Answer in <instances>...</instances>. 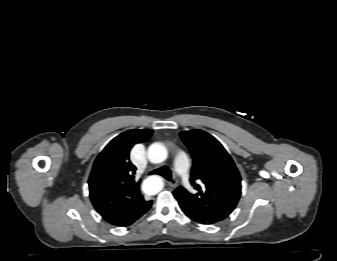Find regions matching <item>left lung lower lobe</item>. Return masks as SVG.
I'll return each mask as SVG.
<instances>
[{
    "label": "left lung lower lobe",
    "mask_w": 337,
    "mask_h": 261,
    "mask_svg": "<svg viewBox=\"0 0 337 261\" xmlns=\"http://www.w3.org/2000/svg\"><path fill=\"white\" fill-rule=\"evenodd\" d=\"M182 210H183V212H184L189 218H191L192 220H194V221H196V222H198V223H201V224H214V223H212V222H209V221H207V220L202 219V218L199 217L198 215H196V214L190 212L189 210H186V209H182Z\"/></svg>",
    "instance_id": "1"
}]
</instances>
